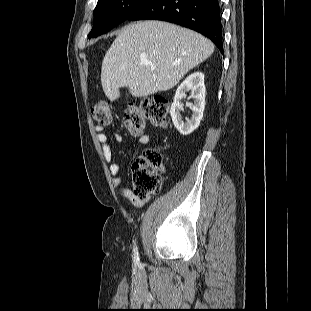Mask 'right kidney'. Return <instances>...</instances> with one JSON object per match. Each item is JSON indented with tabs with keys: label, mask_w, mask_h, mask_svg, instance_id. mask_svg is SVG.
Returning <instances> with one entry per match:
<instances>
[{
	"label": "right kidney",
	"mask_w": 311,
	"mask_h": 311,
	"mask_svg": "<svg viewBox=\"0 0 311 311\" xmlns=\"http://www.w3.org/2000/svg\"><path fill=\"white\" fill-rule=\"evenodd\" d=\"M189 90L192 91V98H194V103L190 105L193 113L190 119L186 118V121H183L180 114L181 100L186 97V92ZM205 92L204 74L201 72L192 73L178 87L170 114L173 124L180 134L186 136L198 128L205 108Z\"/></svg>",
	"instance_id": "right-kidney-1"
}]
</instances>
